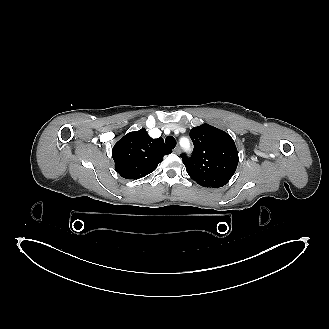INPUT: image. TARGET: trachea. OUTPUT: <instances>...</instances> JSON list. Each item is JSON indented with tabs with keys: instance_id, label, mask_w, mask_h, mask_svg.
I'll return each mask as SVG.
<instances>
[{
	"instance_id": "3493384b",
	"label": "trachea",
	"mask_w": 329,
	"mask_h": 329,
	"mask_svg": "<svg viewBox=\"0 0 329 329\" xmlns=\"http://www.w3.org/2000/svg\"><path fill=\"white\" fill-rule=\"evenodd\" d=\"M165 143L169 148H172V149L175 148V146H176V141H175L174 137H172V136L166 137Z\"/></svg>"
}]
</instances>
